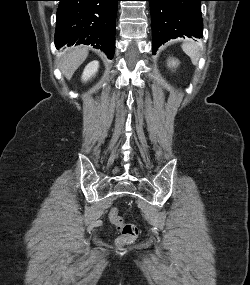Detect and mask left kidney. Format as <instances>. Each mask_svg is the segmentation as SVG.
I'll use <instances>...</instances> for the list:
<instances>
[{
  "mask_svg": "<svg viewBox=\"0 0 250 285\" xmlns=\"http://www.w3.org/2000/svg\"><path fill=\"white\" fill-rule=\"evenodd\" d=\"M178 64H179L178 60H175V59H171L168 62L169 67H176V66H178Z\"/></svg>",
  "mask_w": 250,
  "mask_h": 285,
  "instance_id": "1",
  "label": "left kidney"
}]
</instances>
